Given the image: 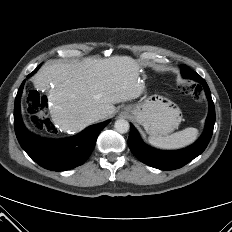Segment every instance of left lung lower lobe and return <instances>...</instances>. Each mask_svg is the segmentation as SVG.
<instances>
[{"instance_id":"1","label":"left lung lower lobe","mask_w":232,"mask_h":232,"mask_svg":"<svg viewBox=\"0 0 232 232\" xmlns=\"http://www.w3.org/2000/svg\"><path fill=\"white\" fill-rule=\"evenodd\" d=\"M181 73L184 78L193 79L200 83L198 87L204 88L208 102L209 113L206 119L205 130L201 137L191 146L176 151H162L151 148L144 144L137 130L130 126L128 145L132 153L141 162L161 170H174L183 167L194 158L199 156L207 147L215 124V107L212 101L209 87L205 80L186 65H181Z\"/></svg>"}]
</instances>
